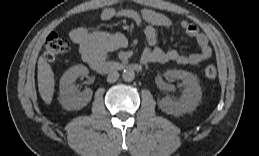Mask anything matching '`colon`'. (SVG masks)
Segmentation results:
<instances>
[{
	"mask_svg": "<svg viewBox=\"0 0 259 156\" xmlns=\"http://www.w3.org/2000/svg\"><path fill=\"white\" fill-rule=\"evenodd\" d=\"M69 49L70 44L66 39L52 33L46 39L44 57L47 61L53 62L65 56ZM203 74L207 79H214L217 71L213 65H207L203 70Z\"/></svg>",
	"mask_w": 259,
	"mask_h": 156,
	"instance_id": "obj_1",
	"label": "colon"
}]
</instances>
